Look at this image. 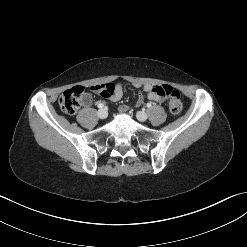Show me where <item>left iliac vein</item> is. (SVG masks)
<instances>
[{
    "label": "left iliac vein",
    "mask_w": 247,
    "mask_h": 247,
    "mask_svg": "<svg viewBox=\"0 0 247 247\" xmlns=\"http://www.w3.org/2000/svg\"><path fill=\"white\" fill-rule=\"evenodd\" d=\"M136 117L139 121L144 122L147 120L148 115L143 111H138Z\"/></svg>",
    "instance_id": "left-iliac-vein-1"
}]
</instances>
